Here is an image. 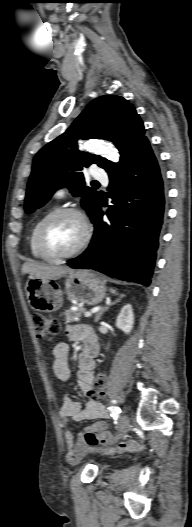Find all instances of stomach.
Instances as JSON below:
<instances>
[{
  "label": "stomach",
  "instance_id": "0dacf381",
  "mask_svg": "<svg viewBox=\"0 0 192 527\" xmlns=\"http://www.w3.org/2000/svg\"><path fill=\"white\" fill-rule=\"evenodd\" d=\"M28 301L34 310L54 312L63 305V292L49 279L30 277L26 284ZM105 282L94 271L78 270L70 272L65 280V293L68 299L79 303L96 305L105 296Z\"/></svg>",
  "mask_w": 192,
  "mask_h": 527
}]
</instances>
